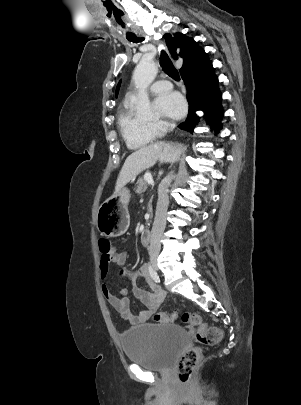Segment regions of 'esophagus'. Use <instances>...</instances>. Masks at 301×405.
Segmentation results:
<instances>
[{"mask_svg": "<svg viewBox=\"0 0 301 405\" xmlns=\"http://www.w3.org/2000/svg\"><path fill=\"white\" fill-rule=\"evenodd\" d=\"M139 35L142 37L148 38V36L144 32H140Z\"/></svg>", "mask_w": 301, "mask_h": 405, "instance_id": "obj_1", "label": "esophagus"}]
</instances>
